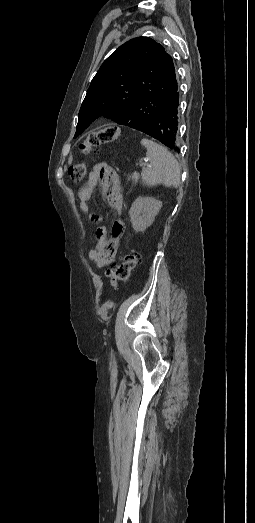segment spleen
Listing matches in <instances>:
<instances>
[{
  "label": "spleen",
  "mask_w": 255,
  "mask_h": 523,
  "mask_svg": "<svg viewBox=\"0 0 255 523\" xmlns=\"http://www.w3.org/2000/svg\"><path fill=\"white\" fill-rule=\"evenodd\" d=\"M141 144L147 148L146 158L149 160L147 168H143L141 172L144 186L164 184V186L178 188L181 168L173 154L146 138L141 140Z\"/></svg>",
  "instance_id": "obj_1"
}]
</instances>
